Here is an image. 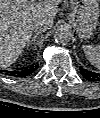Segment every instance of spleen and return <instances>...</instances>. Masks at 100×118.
<instances>
[{"instance_id": "1", "label": "spleen", "mask_w": 100, "mask_h": 118, "mask_svg": "<svg viewBox=\"0 0 100 118\" xmlns=\"http://www.w3.org/2000/svg\"><path fill=\"white\" fill-rule=\"evenodd\" d=\"M83 51L87 59L92 65L98 67L100 65V47L99 46H83Z\"/></svg>"}]
</instances>
